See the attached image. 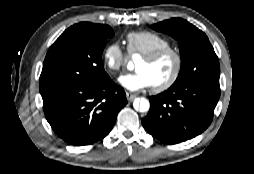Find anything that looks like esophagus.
<instances>
[{
  "instance_id": "esophagus-1",
  "label": "esophagus",
  "mask_w": 254,
  "mask_h": 174,
  "mask_svg": "<svg viewBox=\"0 0 254 174\" xmlns=\"http://www.w3.org/2000/svg\"><path fill=\"white\" fill-rule=\"evenodd\" d=\"M126 97H127L128 101H132V100H134L136 98V94L131 93V92H127L126 93Z\"/></svg>"
}]
</instances>
